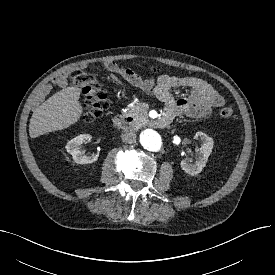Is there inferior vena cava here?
I'll return each instance as SVG.
<instances>
[{
	"label": "inferior vena cava",
	"instance_id": "obj_1",
	"mask_svg": "<svg viewBox=\"0 0 275 275\" xmlns=\"http://www.w3.org/2000/svg\"><path fill=\"white\" fill-rule=\"evenodd\" d=\"M121 138L124 143H128V144L134 143L136 141V133L134 129L126 128L123 131Z\"/></svg>",
	"mask_w": 275,
	"mask_h": 275
}]
</instances>
